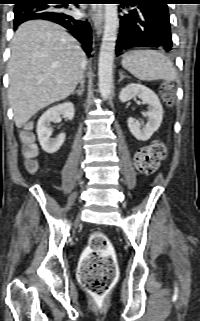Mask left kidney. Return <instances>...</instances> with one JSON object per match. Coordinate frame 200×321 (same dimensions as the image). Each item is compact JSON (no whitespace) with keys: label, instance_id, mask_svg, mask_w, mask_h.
Masks as SVG:
<instances>
[{"label":"left kidney","instance_id":"5707ae66","mask_svg":"<svg viewBox=\"0 0 200 321\" xmlns=\"http://www.w3.org/2000/svg\"><path fill=\"white\" fill-rule=\"evenodd\" d=\"M138 96L144 103L148 104L146 125H142L133 118H128L127 123L132 135L140 140L147 141L161 125L163 117V107L158 96L149 88L140 84H129L124 87L119 94L121 102H127L133 97Z\"/></svg>","mask_w":200,"mask_h":321}]
</instances>
